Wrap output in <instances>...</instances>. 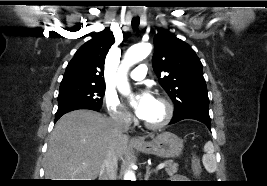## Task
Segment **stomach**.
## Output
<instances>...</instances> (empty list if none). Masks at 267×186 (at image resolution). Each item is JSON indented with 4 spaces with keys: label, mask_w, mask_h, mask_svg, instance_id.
I'll return each mask as SVG.
<instances>
[{
    "label": "stomach",
    "mask_w": 267,
    "mask_h": 186,
    "mask_svg": "<svg viewBox=\"0 0 267 186\" xmlns=\"http://www.w3.org/2000/svg\"><path fill=\"white\" fill-rule=\"evenodd\" d=\"M136 148L145 154H153L163 158L178 157L183 150V141L171 132H162L151 140L136 145Z\"/></svg>",
    "instance_id": "0dacf381"
}]
</instances>
